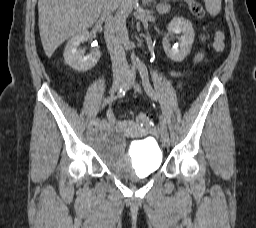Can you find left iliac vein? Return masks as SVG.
<instances>
[{"label": "left iliac vein", "instance_id": "4c4485c4", "mask_svg": "<svg viewBox=\"0 0 256 228\" xmlns=\"http://www.w3.org/2000/svg\"><path fill=\"white\" fill-rule=\"evenodd\" d=\"M133 87L137 90V91H140V87L138 84H134ZM161 142L162 144L165 146V147H169L170 146V137H169V134L168 132H165V131H161Z\"/></svg>", "mask_w": 256, "mask_h": 228}]
</instances>
